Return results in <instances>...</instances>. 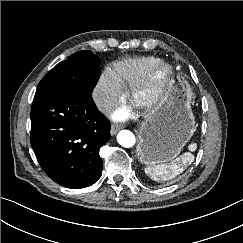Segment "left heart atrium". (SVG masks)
<instances>
[{
  "label": "left heart atrium",
  "instance_id": "left-heart-atrium-1",
  "mask_svg": "<svg viewBox=\"0 0 243 243\" xmlns=\"http://www.w3.org/2000/svg\"><path fill=\"white\" fill-rule=\"evenodd\" d=\"M113 116L115 119H124L129 116V111L127 109H120Z\"/></svg>",
  "mask_w": 243,
  "mask_h": 243
}]
</instances>
